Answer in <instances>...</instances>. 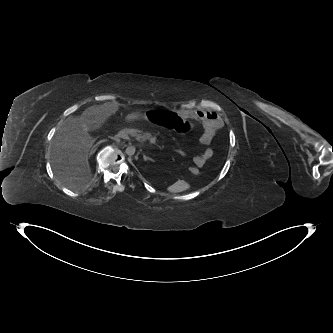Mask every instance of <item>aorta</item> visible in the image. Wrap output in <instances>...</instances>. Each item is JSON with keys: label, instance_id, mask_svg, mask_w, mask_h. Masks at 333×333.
Instances as JSON below:
<instances>
[{"label": "aorta", "instance_id": "aorta-1", "mask_svg": "<svg viewBox=\"0 0 333 333\" xmlns=\"http://www.w3.org/2000/svg\"><path fill=\"white\" fill-rule=\"evenodd\" d=\"M136 148L134 146H128L125 150V153L129 156H132L135 154Z\"/></svg>", "mask_w": 333, "mask_h": 333}]
</instances>
